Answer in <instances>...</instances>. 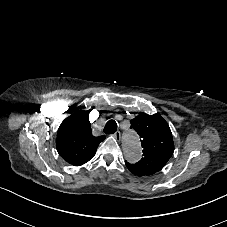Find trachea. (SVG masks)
Masks as SVG:
<instances>
[{"mask_svg":"<svg viewBox=\"0 0 227 227\" xmlns=\"http://www.w3.org/2000/svg\"><path fill=\"white\" fill-rule=\"evenodd\" d=\"M117 127H118V126H117L116 121H114L113 119H111V120H109V121L106 123V125H105V127H104V133H105V134H113V133L116 132Z\"/></svg>","mask_w":227,"mask_h":227,"instance_id":"obj_1","label":"trachea"}]
</instances>
